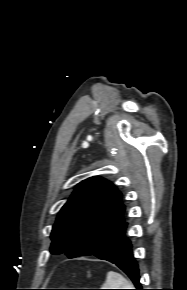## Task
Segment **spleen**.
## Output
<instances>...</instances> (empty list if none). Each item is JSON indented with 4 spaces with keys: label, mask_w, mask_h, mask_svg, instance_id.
I'll return each mask as SVG.
<instances>
[{
    "label": "spleen",
    "mask_w": 187,
    "mask_h": 290,
    "mask_svg": "<svg viewBox=\"0 0 187 290\" xmlns=\"http://www.w3.org/2000/svg\"><path fill=\"white\" fill-rule=\"evenodd\" d=\"M132 286L126 278L114 271L107 273L106 281L102 285L103 289H131Z\"/></svg>",
    "instance_id": "1"
}]
</instances>
